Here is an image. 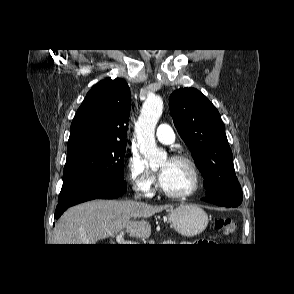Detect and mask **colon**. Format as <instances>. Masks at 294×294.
I'll return each instance as SVG.
<instances>
[{
    "instance_id": "5ec220e1",
    "label": "colon",
    "mask_w": 294,
    "mask_h": 294,
    "mask_svg": "<svg viewBox=\"0 0 294 294\" xmlns=\"http://www.w3.org/2000/svg\"><path fill=\"white\" fill-rule=\"evenodd\" d=\"M214 227L224 235H232L237 229V222L230 218H219L214 221Z\"/></svg>"
}]
</instances>
